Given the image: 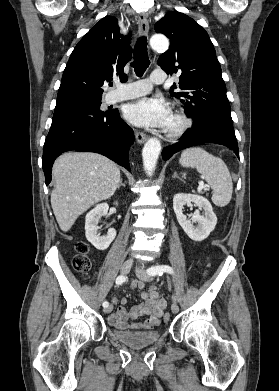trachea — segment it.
Segmentation results:
<instances>
[{"label":"trachea","instance_id":"1","mask_svg":"<svg viewBox=\"0 0 279 391\" xmlns=\"http://www.w3.org/2000/svg\"><path fill=\"white\" fill-rule=\"evenodd\" d=\"M131 66L138 77H141L150 64L147 54V38L145 36L139 37L134 46V57Z\"/></svg>","mask_w":279,"mask_h":391}]
</instances>
